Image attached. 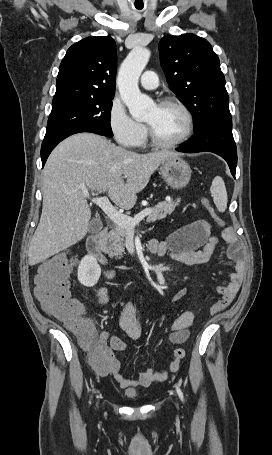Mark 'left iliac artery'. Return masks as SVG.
<instances>
[{
    "instance_id": "obj_1",
    "label": "left iliac artery",
    "mask_w": 272,
    "mask_h": 455,
    "mask_svg": "<svg viewBox=\"0 0 272 455\" xmlns=\"http://www.w3.org/2000/svg\"><path fill=\"white\" fill-rule=\"evenodd\" d=\"M176 390H177V393H178L180 399H181L182 401H184L183 393H182V391H181V389L179 388L178 385H176Z\"/></svg>"
}]
</instances>
